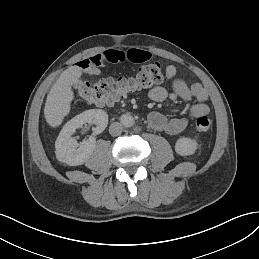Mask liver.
Instances as JSON below:
<instances>
[{"label":"liver","mask_w":259,"mask_h":259,"mask_svg":"<svg viewBox=\"0 0 259 259\" xmlns=\"http://www.w3.org/2000/svg\"><path fill=\"white\" fill-rule=\"evenodd\" d=\"M81 75V68L71 66L61 73L52 86L44 108L45 119L51 127L61 125L64 117L68 115L73 100L71 86L78 82Z\"/></svg>","instance_id":"6515ba94"}]
</instances>
